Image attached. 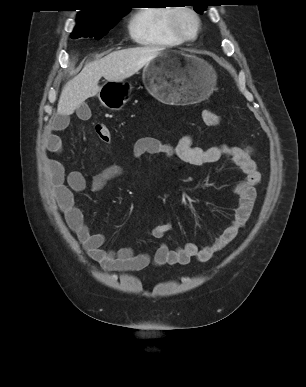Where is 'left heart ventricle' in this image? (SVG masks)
I'll return each mask as SVG.
<instances>
[{"label":"left heart ventricle","instance_id":"1","mask_svg":"<svg viewBox=\"0 0 306 387\" xmlns=\"http://www.w3.org/2000/svg\"><path fill=\"white\" fill-rule=\"evenodd\" d=\"M180 23L185 32L192 35L195 31V21L190 14L183 13L180 16Z\"/></svg>","mask_w":306,"mask_h":387}]
</instances>
